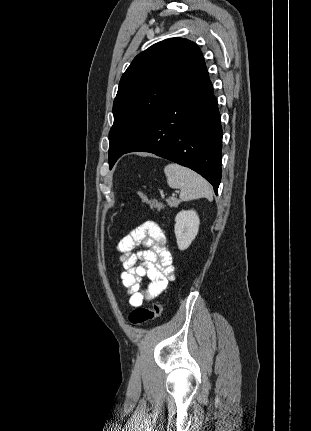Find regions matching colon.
I'll return each mask as SVG.
<instances>
[{
    "mask_svg": "<svg viewBox=\"0 0 311 431\" xmlns=\"http://www.w3.org/2000/svg\"><path fill=\"white\" fill-rule=\"evenodd\" d=\"M137 195L139 196L141 201L148 205L150 208L156 210L163 209L162 204L158 200L150 198L148 195L140 191L137 192ZM161 311L162 308L159 302H154L150 308L136 307L134 310L131 311L129 315V321L133 325H141L159 317Z\"/></svg>",
    "mask_w": 311,
    "mask_h": 431,
    "instance_id": "obj_1",
    "label": "colon"
}]
</instances>
